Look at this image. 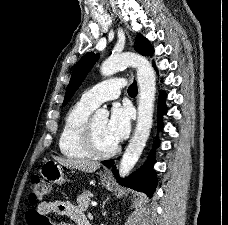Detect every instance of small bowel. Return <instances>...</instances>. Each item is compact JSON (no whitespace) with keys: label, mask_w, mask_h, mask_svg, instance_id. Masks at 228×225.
Instances as JSON below:
<instances>
[{"label":"small bowel","mask_w":228,"mask_h":225,"mask_svg":"<svg viewBox=\"0 0 228 225\" xmlns=\"http://www.w3.org/2000/svg\"><path fill=\"white\" fill-rule=\"evenodd\" d=\"M49 214L68 217L75 221L76 224L78 220L84 216L83 213L69 201H43L39 203L35 209H30L27 212V225H66L65 223L49 222V218H47Z\"/></svg>","instance_id":"small-bowel-1"}]
</instances>
